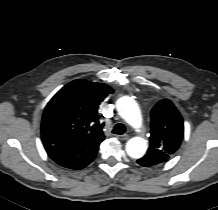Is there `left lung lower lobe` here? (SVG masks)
Masks as SVG:
<instances>
[{
	"mask_svg": "<svg viewBox=\"0 0 218 210\" xmlns=\"http://www.w3.org/2000/svg\"><path fill=\"white\" fill-rule=\"evenodd\" d=\"M137 162L142 166H146V167L150 166L145 158H141V159L137 160Z\"/></svg>",
	"mask_w": 218,
	"mask_h": 210,
	"instance_id": "0a47b994",
	"label": "left lung lower lobe"
}]
</instances>
